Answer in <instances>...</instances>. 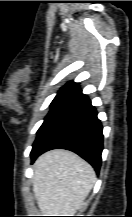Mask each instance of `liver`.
<instances>
[{"instance_id":"obj_1","label":"liver","mask_w":132,"mask_h":217,"mask_svg":"<svg viewBox=\"0 0 132 217\" xmlns=\"http://www.w3.org/2000/svg\"><path fill=\"white\" fill-rule=\"evenodd\" d=\"M33 170L34 196L45 216H73L83 206L96 181L92 166L68 150L42 154Z\"/></svg>"}]
</instances>
